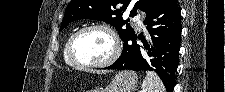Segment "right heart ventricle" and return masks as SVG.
I'll use <instances>...</instances> for the list:
<instances>
[{"label":"right heart ventricle","mask_w":225,"mask_h":92,"mask_svg":"<svg viewBox=\"0 0 225 92\" xmlns=\"http://www.w3.org/2000/svg\"><path fill=\"white\" fill-rule=\"evenodd\" d=\"M73 35L70 34L67 38H66V41H65V44H64V48H63V58H64V61L66 62V64L70 65V66H74L68 56V51H67V48H68V42L71 38V36Z\"/></svg>","instance_id":"e07e8e85"}]
</instances>
